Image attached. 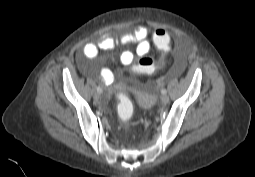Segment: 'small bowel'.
Instances as JSON below:
<instances>
[{"mask_svg":"<svg viewBox=\"0 0 255 177\" xmlns=\"http://www.w3.org/2000/svg\"><path fill=\"white\" fill-rule=\"evenodd\" d=\"M136 45V53L144 56L151 49V41L149 39V30L146 26H137L132 32L114 37L110 34H103L96 42H88L83 47V55L87 59L95 58L100 50H112L120 46ZM134 59V54L130 51L122 52L118 60L124 64H130ZM80 67L87 72L86 65L80 61ZM97 79L103 84L109 85L114 80L113 72L109 68H103L97 75Z\"/></svg>","mask_w":255,"mask_h":177,"instance_id":"small-bowel-1","label":"small bowel"}]
</instances>
